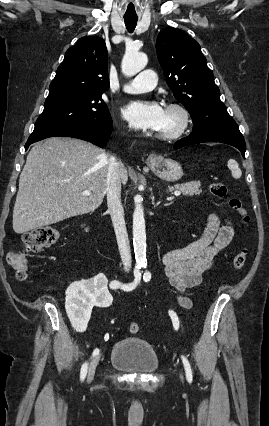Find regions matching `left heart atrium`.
<instances>
[{"label":"left heart atrium","mask_w":269,"mask_h":426,"mask_svg":"<svg viewBox=\"0 0 269 426\" xmlns=\"http://www.w3.org/2000/svg\"><path fill=\"white\" fill-rule=\"evenodd\" d=\"M123 119L140 130H158L163 122L165 110L157 102L134 100L121 109Z\"/></svg>","instance_id":"left-heart-atrium-1"}]
</instances>
